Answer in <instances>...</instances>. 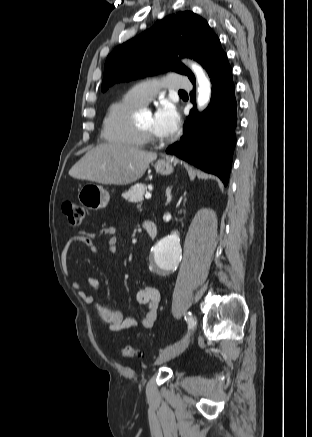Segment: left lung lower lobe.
<instances>
[{
	"mask_svg": "<svg viewBox=\"0 0 312 437\" xmlns=\"http://www.w3.org/2000/svg\"><path fill=\"white\" fill-rule=\"evenodd\" d=\"M207 72L213 85L210 104L201 114L195 108L190 111L183 136L167 153L216 174L226 186L236 145L237 103L232 70L224 51L217 55ZM191 101L195 103V90Z\"/></svg>",
	"mask_w": 312,
	"mask_h": 437,
	"instance_id": "left-lung-lower-lobe-1",
	"label": "left lung lower lobe"
}]
</instances>
